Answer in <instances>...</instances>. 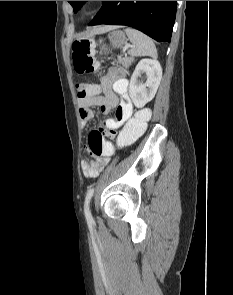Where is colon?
Segmentation results:
<instances>
[{
  "mask_svg": "<svg viewBox=\"0 0 233 295\" xmlns=\"http://www.w3.org/2000/svg\"><path fill=\"white\" fill-rule=\"evenodd\" d=\"M93 41L83 39L75 41L72 45V58L75 71L79 74H89L96 69V62L92 55ZM97 84H77L78 97L95 95L99 92ZM151 113L149 109H140L124 126L119 135L116 131L110 130L107 133L100 130H93L88 135L87 145L90 154L93 156H110L114 152V146L104 139V135L110 139L116 138L120 147L128 146L138 139L146 130Z\"/></svg>",
  "mask_w": 233,
  "mask_h": 295,
  "instance_id": "1",
  "label": "colon"
}]
</instances>
